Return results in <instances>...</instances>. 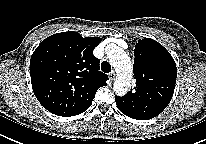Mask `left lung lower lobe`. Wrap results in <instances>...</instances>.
Returning a JSON list of instances; mask_svg holds the SVG:
<instances>
[{"instance_id":"left-lung-lower-lobe-1","label":"left lung lower lobe","mask_w":206,"mask_h":144,"mask_svg":"<svg viewBox=\"0 0 206 144\" xmlns=\"http://www.w3.org/2000/svg\"><path fill=\"white\" fill-rule=\"evenodd\" d=\"M115 102L117 105V108L126 116L133 118V119H137V120H148L151 118L156 117L157 115H159L162 111L156 109L157 107L154 106L153 104H148V102L144 101L142 103V107L144 108V112H142L141 115H137L135 117H131L130 113H128L127 108H125V104L124 102H122V100L120 99V97H115ZM159 111V112H158Z\"/></svg>"}]
</instances>
